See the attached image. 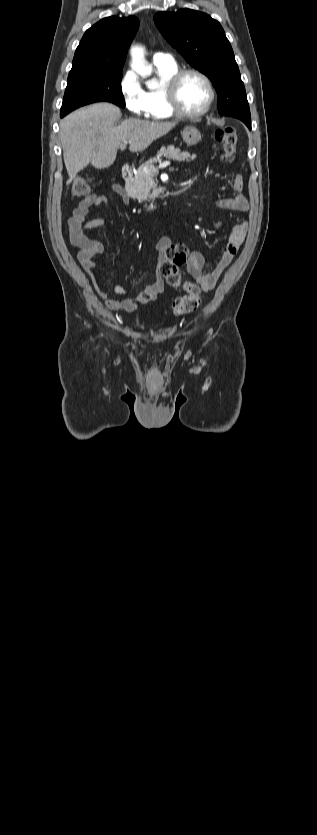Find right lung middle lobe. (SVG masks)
<instances>
[{"mask_svg": "<svg viewBox=\"0 0 317 835\" xmlns=\"http://www.w3.org/2000/svg\"><path fill=\"white\" fill-rule=\"evenodd\" d=\"M122 70L102 67L71 69L60 113L94 102L107 101L125 107Z\"/></svg>", "mask_w": 317, "mask_h": 835, "instance_id": "obj_1", "label": "right lung middle lobe"}]
</instances>
